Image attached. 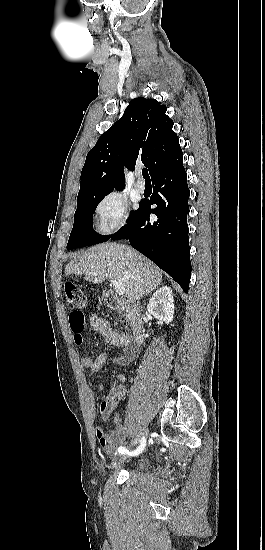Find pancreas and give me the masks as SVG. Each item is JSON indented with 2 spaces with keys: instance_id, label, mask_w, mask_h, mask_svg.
<instances>
[{
  "instance_id": "1",
  "label": "pancreas",
  "mask_w": 265,
  "mask_h": 550,
  "mask_svg": "<svg viewBox=\"0 0 265 550\" xmlns=\"http://www.w3.org/2000/svg\"><path fill=\"white\" fill-rule=\"evenodd\" d=\"M119 316H120V317H124V318H125V320H126V322H128V321H129V314H128V312H127V311H123V312H121V313L119 314Z\"/></svg>"
}]
</instances>
